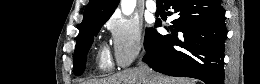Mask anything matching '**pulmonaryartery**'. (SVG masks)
I'll return each mask as SVG.
<instances>
[{"label":"pulmonary artery","mask_w":260,"mask_h":84,"mask_svg":"<svg viewBox=\"0 0 260 84\" xmlns=\"http://www.w3.org/2000/svg\"><path fill=\"white\" fill-rule=\"evenodd\" d=\"M146 7L150 12H156L157 10V4L153 0H149L146 2Z\"/></svg>","instance_id":"pulmonary-artery-1"}]
</instances>
